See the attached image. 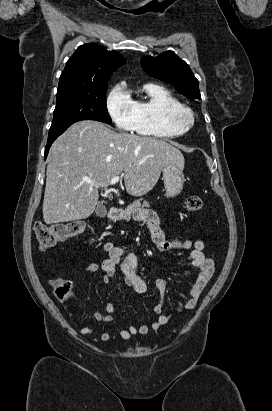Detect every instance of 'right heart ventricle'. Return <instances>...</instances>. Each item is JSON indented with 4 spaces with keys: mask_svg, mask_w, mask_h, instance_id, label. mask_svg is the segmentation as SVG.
<instances>
[{
    "mask_svg": "<svg viewBox=\"0 0 272 411\" xmlns=\"http://www.w3.org/2000/svg\"><path fill=\"white\" fill-rule=\"evenodd\" d=\"M144 97L133 100L135 122L133 131L142 136L173 138L182 133L173 130L167 123V112L187 108L170 90L157 84H146Z\"/></svg>",
    "mask_w": 272,
    "mask_h": 411,
    "instance_id": "1",
    "label": "right heart ventricle"
}]
</instances>
